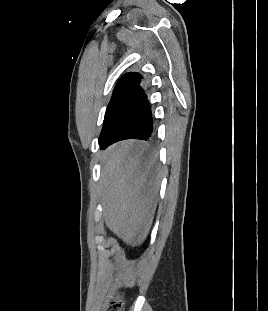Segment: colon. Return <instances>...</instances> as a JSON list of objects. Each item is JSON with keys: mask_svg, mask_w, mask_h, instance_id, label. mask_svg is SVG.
Segmentation results:
<instances>
[{"mask_svg": "<svg viewBox=\"0 0 268 311\" xmlns=\"http://www.w3.org/2000/svg\"><path fill=\"white\" fill-rule=\"evenodd\" d=\"M123 300L119 295H114L110 298L105 311H123Z\"/></svg>", "mask_w": 268, "mask_h": 311, "instance_id": "1", "label": "colon"}]
</instances>
